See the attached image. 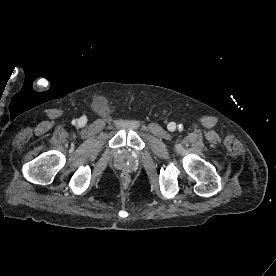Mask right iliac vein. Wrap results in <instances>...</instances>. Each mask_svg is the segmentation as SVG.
<instances>
[{"label": "right iliac vein", "mask_w": 276, "mask_h": 276, "mask_svg": "<svg viewBox=\"0 0 276 276\" xmlns=\"http://www.w3.org/2000/svg\"><path fill=\"white\" fill-rule=\"evenodd\" d=\"M79 123H80V124L84 123V120H83V119H80V120H79Z\"/></svg>", "instance_id": "right-iliac-vein-1"}]
</instances>
